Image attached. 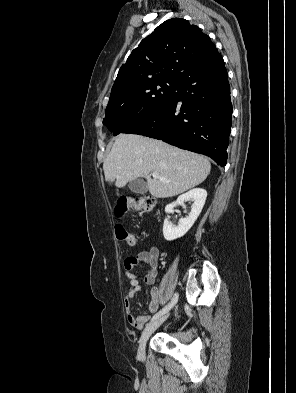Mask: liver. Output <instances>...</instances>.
Masks as SVG:
<instances>
[{"label": "liver", "instance_id": "liver-1", "mask_svg": "<svg viewBox=\"0 0 296 393\" xmlns=\"http://www.w3.org/2000/svg\"><path fill=\"white\" fill-rule=\"evenodd\" d=\"M105 180L118 188L143 177L150 194L156 198L179 195L202 183L211 164L202 155L185 151L161 140L135 134H120L103 163ZM158 173L168 180L151 178Z\"/></svg>", "mask_w": 296, "mask_h": 393}]
</instances>
